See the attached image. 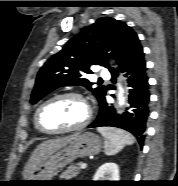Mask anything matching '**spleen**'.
Returning a JSON list of instances; mask_svg holds the SVG:
<instances>
[{"instance_id": "1", "label": "spleen", "mask_w": 178, "mask_h": 186, "mask_svg": "<svg viewBox=\"0 0 178 186\" xmlns=\"http://www.w3.org/2000/svg\"><path fill=\"white\" fill-rule=\"evenodd\" d=\"M98 132L104 137V152L111 156L117 154L126 145L134 143V137L122 129L99 127Z\"/></svg>"}]
</instances>
